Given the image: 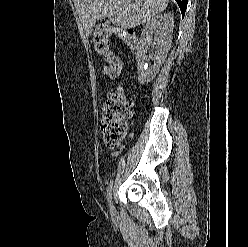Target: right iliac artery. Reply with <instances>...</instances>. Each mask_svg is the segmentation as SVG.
Here are the masks:
<instances>
[{"label":"right iliac artery","instance_id":"82829eb1","mask_svg":"<svg viewBox=\"0 0 248 247\" xmlns=\"http://www.w3.org/2000/svg\"><path fill=\"white\" fill-rule=\"evenodd\" d=\"M112 187H113V181L111 180L108 184L107 188V201L109 203L110 210L112 209L111 201H112Z\"/></svg>","mask_w":248,"mask_h":247}]
</instances>
